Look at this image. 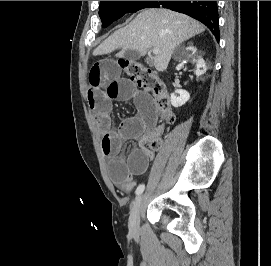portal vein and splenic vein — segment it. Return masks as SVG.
<instances>
[{
  "mask_svg": "<svg viewBox=\"0 0 271 266\" xmlns=\"http://www.w3.org/2000/svg\"><path fill=\"white\" fill-rule=\"evenodd\" d=\"M152 52H153V54H158L159 53V49L158 48H153Z\"/></svg>",
  "mask_w": 271,
  "mask_h": 266,
  "instance_id": "obj_1",
  "label": "portal vein and splenic vein"
}]
</instances>
